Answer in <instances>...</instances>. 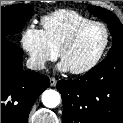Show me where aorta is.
I'll return each mask as SVG.
<instances>
[{
    "mask_svg": "<svg viewBox=\"0 0 123 123\" xmlns=\"http://www.w3.org/2000/svg\"><path fill=\"white\" fill-rule=\"evenodd\" d=\"M42 103L48 108H55L60 103V94L52 89L45 90L42 93Z\"/></svg>",
    "mask_w": 123,
    "mask_h": 123,
    "instance_id": "obj_1",
    "label": "aorta"
}]
</instances>
